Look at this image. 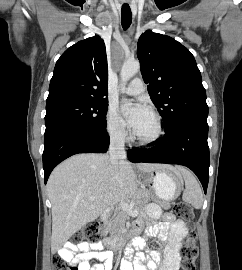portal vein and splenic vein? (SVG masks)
I'll return each instance as SVG.
<instances>
[{
  "label": "portal vein and splenic vein",
  "instance_id": "1",
  "mask_svg": "<svg viewBox=\"0 0 242 270\" xmlns=\"http://www.w3.org/2000/svg\"><path fill=\"white\" fill-rule=\"evenodd\" d=\"M96 199V196H91L89 198V200H95ZM120 208L125 211L127 214H130V215H138V211L136 209H134L133 205L132 204H129L127 202H124V201H120Z\"/></svg>",
  "mask_w": 242,
  "mask_h": 270
}]
</instances>
